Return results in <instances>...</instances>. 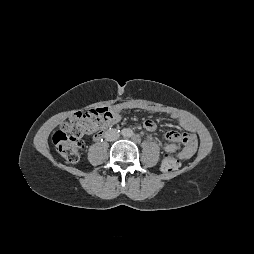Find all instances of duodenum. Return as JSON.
Wrapping results in <instances>:
<instances>
[{
    "label": "duodenum",
    "mask_w": 254,
    "mask_h": 254,
    "mask_svg": "<svg viewBox=\"0 0 254 254\" xmlns=\"http://www.w3.org/2000/svg\"><path fill=\"white\" fill-rule=\"evenodd\" d=\"M103 134H104V132L101 133V134H99L96 138H97V139H100V138L102 137Z\"/></svg>",
    "instance_id": "duodenum-1"
}]
</instances>
